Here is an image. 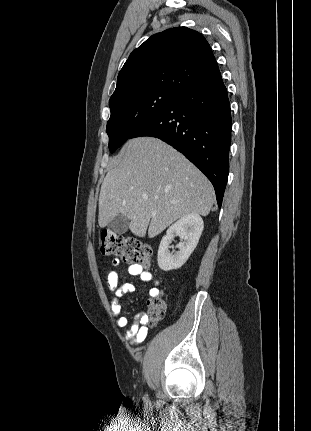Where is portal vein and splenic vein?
<instances>
[{
	"label": "portal vein and splenic vein",
	"mask_w": 311,
	"mask_h": 431,
	"mask_svg": "<svg viewBox=\"0 0 311 431\" xmlns=\"http://www.w3.org/2000/svg\"><path fill=\"white\" fill-rule=\"evenodd\" d=\"M143 200H148V196H142Z\"/></svg>",
	"instance_id": "18ae733b"
}]
</instances>
